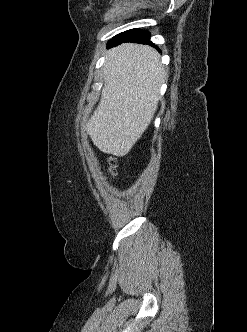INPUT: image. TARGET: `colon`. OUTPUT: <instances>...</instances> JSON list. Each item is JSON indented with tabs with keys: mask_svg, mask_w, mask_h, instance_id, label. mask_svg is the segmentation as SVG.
<instances>
[{
	"mask_svg": "<svg viewBox=\"0 0 247 332\" xmlns=\"http://www.w3.org/2000/svg\"><path fill=\"white\" fill-rule=\"evenodd\" d=\"M108 162H109V166H110V171H111V173H114V171H115V166H114L115 161H114V159H113L112 157H110V158L108 159Z\"/></svg>",
	"mask_w": 247,
	"mask_h": 332,
	"instance_id": "5ec220e1",
	"label": "colon"
}]
</instances>
